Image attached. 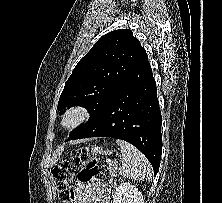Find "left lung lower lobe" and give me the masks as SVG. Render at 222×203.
I'll return each mask as SVG.
<instances>
[{
    "mask_svg": "<svg viewBox=\"0 0 222 203\" xmlns=\"http://www.w3.org/2000/svg\"><path fill=\"white\" fill-rule=\"evenodd\" d=\"M88 137H113L131 143L157 174L162 152L161 111L147 54L74 139Z\"/></svg>",
    "mask_w": 222,
    "mask_h": 203,
    "instance_id": "1",
    "label": "left lung lower lobe"
}]
</instances>
